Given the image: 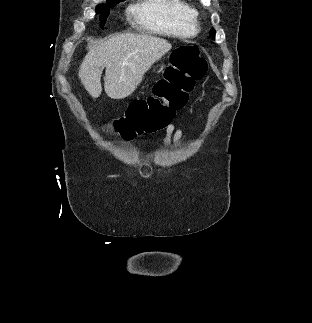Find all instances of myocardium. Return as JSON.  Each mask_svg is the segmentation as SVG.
<instances>
[{
	"label": "myocardium",
	"instance_id": "obj_1",
	"mask_svg": "<svg viewBox=\"0 0 312 323\" xmlns=\"http://www.w3.org/2000/svg\"><path fill=\"white\" fill-rule=\"evenodd\" d=\"M197 15H200V12H197Z\"/></svg>",
	"mask_w": 312,
	"mask_h": 323
}]
</instances>
